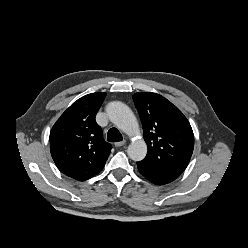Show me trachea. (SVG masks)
I'll return each instance as SVG.
<instances>
[{
    "instance_id": "1",
    "label": "trachea",
    "mask_w": 248,
    "mask_h": 248,
    "mask_svg": "<svg viewBox=\"0 0 248 248\" xmlns=\"http://www.w3.org/2000/svg\"><path fill=\"white\" fill-rule=\"evenodd\" d=\"M107 140L110 142H119L122 141V135L116 128L109 129L107 133Z\"/></svg>"
}]
</instances>
